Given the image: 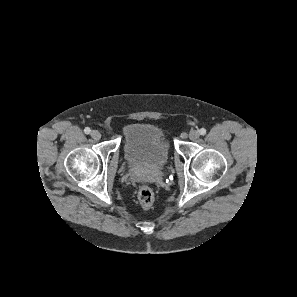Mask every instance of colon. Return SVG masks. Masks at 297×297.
Listing matches in <instances>:
<instances>
[{
	"mask_svg": "<svg viewBox=\"0 0 297 297\" xmlns=\"http://www.w3.org/2000/svg\"><path fill=\"white\" fill-rule=\"evenodd\" d=\"M138 200L140 206L144 210H148L154 203V193L148 186H142L138 192Z\"/></svg>",
	"mask_w": 297,
	"mask_h": 297,
	"instance_id": "5ec220e1",
	"label": "colon"
}]
</instances>
